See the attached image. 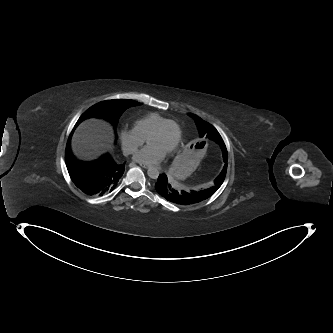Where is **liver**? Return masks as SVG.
<instances>
[{
	"label": "liver",
	"instance_id": "6515ba94",
	"mask_svg": "<svg viewBox=\"0 0 333 333\" xmlns=\"http://www.w3.org/2000/svg\"><path fill=\"white\" fill-rule=\"evenodd\" d=\"M113 130L109 123L96 118L82 122L72 137L75 155L85 161L98 158L112 147Z\"/></svg>",
	"mask_w": 333,
	"mask_h": 333
}]
</instances>
